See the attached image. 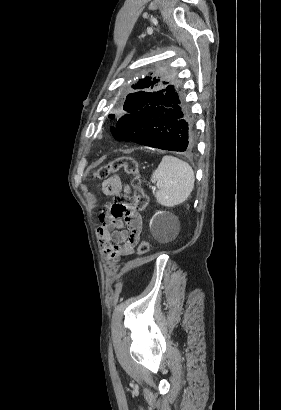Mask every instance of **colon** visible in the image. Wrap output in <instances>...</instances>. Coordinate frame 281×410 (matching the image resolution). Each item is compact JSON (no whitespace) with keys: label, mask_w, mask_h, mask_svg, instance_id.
<instances>
[{"label":"colon","mask_w":281,"mask_h":410,"mask_svg":"<svg viewBox=\"0 0 281 410\" xmlns=\"http://www.w3.org/2000/svg\"><path fill=\"white\" fill-rule=\"evenodd\" d=\"M123 170L130 178L133 187V197L127 195L116 196L111 206V214L115 217L129 216L136 212L144 211L148 204V196L142 185V177L137 162L131 157L117 158L107 165L98 168L94 176L97 179H106L110 174ZM150 250L147 241H141L138 254L145 256Z\"/></svg>","instance_id":"5ec220e1"}]
</instances>
